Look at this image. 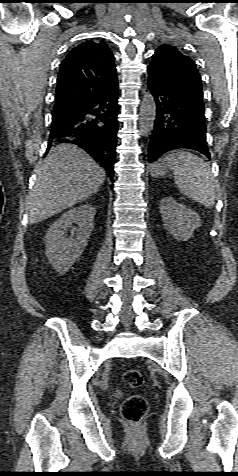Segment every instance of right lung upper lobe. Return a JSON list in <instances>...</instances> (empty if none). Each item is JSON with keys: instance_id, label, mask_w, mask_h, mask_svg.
Here are the masks:
<instances>
[{"instance_id": "cb5924a9", "label": "right lung upper lobe", "mask_w": 238, "mask_h": 476, "mask_svg": "<svg viewBox=\"0 0 238 476\" xmlns=\"http://www.w3.org/2000/svg\"><path fill=\"white\" fill-rule=\"evenodd\" d=\"M116 84L114 56L107 44L81 43L61 63L54 110L82 107Z\"/></svg>"}]
</instances>
